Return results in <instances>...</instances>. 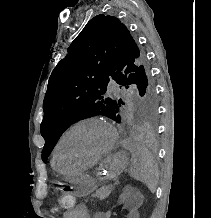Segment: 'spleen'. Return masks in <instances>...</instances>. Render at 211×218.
Wrapping results in <instances>:
<instances>
[{"instance_id":"3e777b00","label":"spleen","mask_w":211,"mask_h":218,"mask_svg":"<svg viewBox=\"0 0 211 218\" xmlns=\"http://www.w3.org/2000/svg\"><path fill=\"white\" fill-rule=\"evenodd\" d=\"M129 174L134 180L144 182L152 194L156 192L159 178L158 166L149 150H145V148L131 150Z\"/></svg>"}]
</instances>
